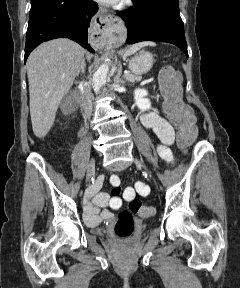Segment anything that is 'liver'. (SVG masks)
I'll return each instance as SVG.
<instances>
[{
    "label": "liver",
    "mask_w": 240,
    "mask_h": 288,
    "mask_svg": "<svg viewBox=\"0 0 240 288\" xmlns=\"http://www.w3.org/2000/svg\"><path fill=\"white\" fill-rule=\"evenodd\" d=\"M85 50L69 39L39 45L27 60L30 116L34 135L44 138L53 126L62 98L73 85Z\"/></svg>",
    "instance_id": "liver-1"
}]
</instances>
